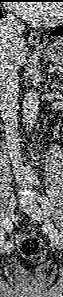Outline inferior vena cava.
I'll return each instance as SVG.
<instances>
[{
    "instance_id": "inferior-vena-cava-1",
    "label": "inferior vena cava",
    "mask_w": 63,
    "mask_h": 297,
    "mask_svg": "<svg viewBox=\"0 0 63 297\" xmlns=\"http://www.w3.org/2000/svg\"><path fill=\"white\" fill-rule=\"evenodd\" d=\"M24 26L12 15L1 21L0 33L14 45L22 43ZM18 72L13 60L1 61L0 65V111L4 121L5 137L13 160L19 170V133L17 126Z\"/></svg>"
}]
</instances>
